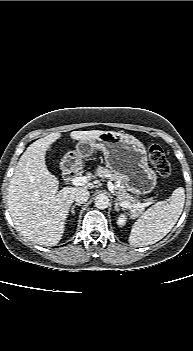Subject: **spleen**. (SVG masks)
Returning a JSON list of instances; mask_svg holds the SVG:
<instances>
[{
	"mask_svg": "<svg viewBox=\"0 0 193 351\" xmlns=\"http://www.w3.org/2000/svg\"><path fill=\"white\" fill-rule=\"evenodd\" d=\"M184 203V188L179 187L173 191L169 200L153 205L136 220L131 229L129 243L140 247L161 240L178 221Z\"/></svg>",
	"mask_w": 193,
	"mask_h": 351,
	"instance_id": "spleen-1",
	"label": "spleen"
}]
</instances>
